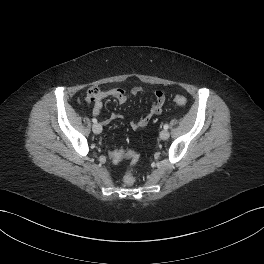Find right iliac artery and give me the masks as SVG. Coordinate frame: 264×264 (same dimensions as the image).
Segmentation results:
<instances>
[{
    "instance_id": "1",
    "label": "right iliac artery",
    "mask_w": 264,
    "mask_h": 264,
    "mask_svg": "<svg viewBox=\"0 0 264 264\" xmlns=\"http://www.w3.org/2000/svg\"><path fill=\"white\" fill-rule=\"evenodd\" d=\"M92 122H93V123H97V119H96V118H93V119H92Z\"/></svg>"
}]
</instances>
